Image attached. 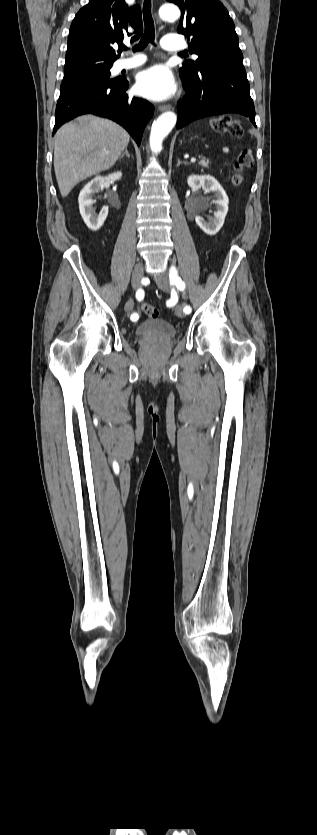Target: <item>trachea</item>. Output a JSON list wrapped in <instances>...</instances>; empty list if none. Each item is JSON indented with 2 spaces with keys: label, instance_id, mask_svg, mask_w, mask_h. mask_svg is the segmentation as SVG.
<instances>
[{
  "label": "trachea",
  "instance_id": "obj_1",
  "mask_svg": "<svg viewBox=\"0 0 317 835\" xmlns=\"http://www.w3.org/2000/svg\"><path fill=\"white\" fill-rule=\"evenodd\" d=\"M143 18H144V25L145 31L142 35L139 44L133 47V51H141L143 50L149 43L154 44L155 40V28H154V21L151 16V0H145L143 4ZM124 50H127V47H123ZM183 54V53H181Z\"/></svg>",
  "mask_w": 317,
  "mask_h": 835
}]
</instances>
